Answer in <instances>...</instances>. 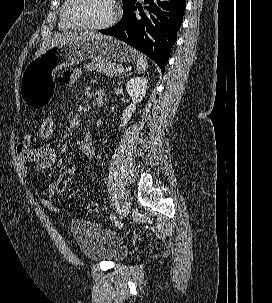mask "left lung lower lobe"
<instances>
[{
  "instance_id": "0a47b994",
  "label": "left lung lower lobe",
  "mask_w": 272,
  "mask_h": 303,
  "mask_svg": "<svg viewBox=\"0 0 272 303\" xmlns=\"http://www.w3.org/2000/svg\"><path fill=\"white\" fill-rule=\"evenodd\" d=\"M145 10L135 2L124 10L121 21L101 33L114 36L153 59L162 72L183 22L186 0H145ZM140 11L138 15L134 13Z\"/></svg>"
}]
</instances>
